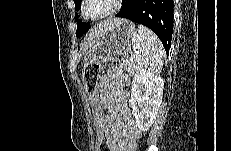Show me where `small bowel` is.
I'll use <instances>...</instances> for the list:
<instances>
[{"instance_id":"1","label":"small bowel","mask_w":231,"mask_h":151,"mask_svg":"<svg viewBox=\"0 0 231 151\" xmlns=\"http://www.w3.org/2000/svg\"><path fill=\"white\" fill-rule=\"evenodd\" d=\"M128 78L113 69L106 72L99 84L98 99L109 129L111 151H134L141 132L132 119L127 93L122 86Z\"/></svg>"}]
</instances>
